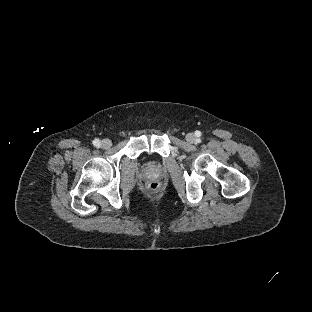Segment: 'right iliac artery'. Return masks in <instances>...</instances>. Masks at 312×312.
<instances>
[{"instance_id":"82829eb1","label":"right iliac artery","mask_w":312,"mask_h":312,"mask_svg":"<svg viewBox=\"0 0 312 312\" xmlns=\"http://www.w3.org/2000/svg\"><path fill=\"white\" fill-rule=\"evenodd\" d=\"M93 145L96 146V147H99V145H100V140H99V139H95V140L93 141Z\"/></svg>"}]
</instances>
